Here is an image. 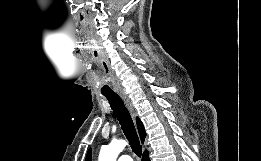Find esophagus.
<instances>
[{"instance_id":"34e87169","label":"esophagus","mask_w":261,"mask_h":161,"mask_svg":"<svg viewBox=\"0 0 261 161\" xmlns=\"http://www.w3.org/2000/svg\"><path fill=\"white\" fill-rule=\"evenodd\" d=\"M120 97L122 98V100L124 101V103L127 106L128 110L130 111V113L134 117L135 116V112H134V108H133V105H132L130 99L124 93H120Z\"/></svg>"}]
</instances>
